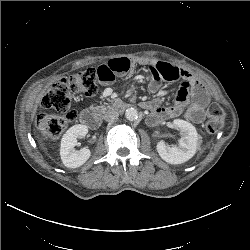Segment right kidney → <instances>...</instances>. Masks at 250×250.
I'll return each instance as SVG.
<instances>
[{
	"mask_svg": "<svg viewBox=\"0 0 250 250\" xmlns=\"http://www.w3.org/2000/svg\"><path fill=\"white\" fill-rule=\"evenodd\" d=\"M88 127L86 125L77 124L72 126L61 139L60 156L63 164L68 168H77L82 166L91 156L88 148L84 147L75 150L77 138L86 136Z\"/></svg>",
	"mask_w": 250,
	"mask_h": 250,
	"instance_id": "right-kidney-1",
	"label": "right kidney"
}]
</instances>
